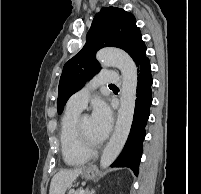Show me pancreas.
Wrapping results in <instances>:
<instances>
[{
	"label": "pancreas",
	"mask_w": 201,
	"mask_h": 194,
	"mask_svg": "<svg viewBox=\"0 0 201 194\" xmlns=\"http://www.w3.org/2000/svg\"><path fill=\"white\" fill-rule=\"evenodd\" d=\"M80 191H81V189L78 190V191L73 192V194H80Z\"/></svg>",
	"instance_id": "1"
}]
</instances>
